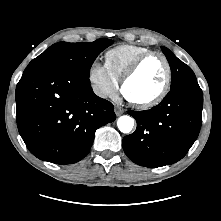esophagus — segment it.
I'll return each instance as SVG.
<instances>
[{
    "instance_id": "34e87169",
    "label": "esophagus",
    "mask_w": 221,
    "mask_h": 221,
    "mask_svg": "<svg viewBox=\"0 0 221 221\" xmlns=\"http://www.w3.org/2000/svg\"><path fill=\"white\" fill-rule=\"evenodd\" d=\"M124 113V108H122L121 106H115V114L117 116H120Z\"/></svg>"
}]
</instances>
